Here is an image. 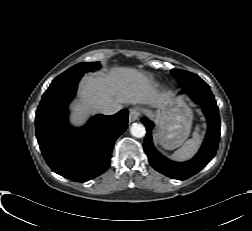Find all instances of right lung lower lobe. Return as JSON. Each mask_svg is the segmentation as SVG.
<instances>
[{"label":"right lung lower lobe","instance_id":"obj_1","mask_svg":"<svg viewBox=\"0 0 252 231\" xmlns=\"http://www.w3.org/2000/svg\"><path fill=\"white\" fill-rule=\"evenodd\" d=\"M80 78L55 86L44 93L35 118L36 137L51 169L70 180L85 182L104 173L115 140L127 128L128 110L115 115L98 114L80 129L68 125V103Z\"/></svg>","mask_w":252,"mask_h":231}]
</instances>
